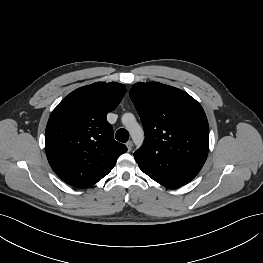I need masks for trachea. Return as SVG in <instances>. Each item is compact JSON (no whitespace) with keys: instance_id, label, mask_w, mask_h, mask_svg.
<instances>
[{"instance_id":"3493384b","label":"trachea","mask_w":263,"mask_h":263,"mask_svg":"<svg viewBox=\"0 0 263 263\" xmlns=\"http://www.w3.org/2000/svg\"><path fill=\"white\" fill-rule=\"evenodd\" d=\"M115 138L118 141L125 143L129 139V132L126 129L121 128L116 132Z\"/></svg>"}]
</instances>
